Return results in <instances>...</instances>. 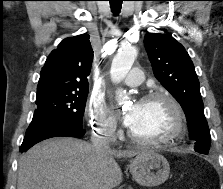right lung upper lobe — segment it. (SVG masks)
<instances>
[{
  "label": "right lung upper lobe",
  "instance_id": "right-lung-upper-lobe-1",
  "mask_svg": "<svg viewBox=\"0 0 223 189\" xmlns=\"http://www.w3.org/2000/svg\"><path fill=\"white\" fill-rule=\"evenodd\" d=\"M88 34L64 39L47 57L40 72L37 93L86 89L93 60Z\"/></svg>",
  "mask_w": 223,
  "mask_h": 189
}]
</instances>
